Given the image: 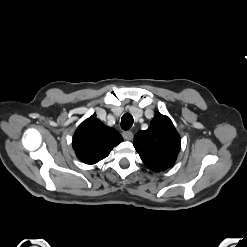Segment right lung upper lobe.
<instances>
[{"label":"right lung upper lobe","mask_w":247,"mask_h":247,"mask_svg":"<svg viewBox=\"0 0 247 247\" xmlns=\"http://www.w3.org/2000/svg\"><path fill=\"white\" fill-rule=\"evenodd\" d=\"M123 141L114 128L104 125L95 116L86 119L73 136V149L86 164H95L107 157L113 147Z\"/></svg>","instance_id":"right-lung-upper-lobe-1"}]
</instances>
